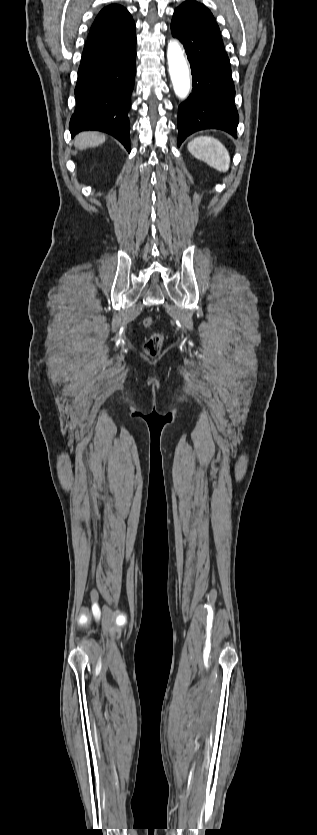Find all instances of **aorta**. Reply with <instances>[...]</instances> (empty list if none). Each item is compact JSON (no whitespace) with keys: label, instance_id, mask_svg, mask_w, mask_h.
<instances>
[{"label":"aorta","instance_id":"obj_1","mask_svg":"<svg viewBox=\"0 0 317 835\" xmlns=\"http://www.w3.org/2000/svg\"><path fill=\"white\" fill-rule=\"evenodd\" d=\"M167 60L173 89L179 99H186L190 92V72L180 43L172 39L168 43Z\"/></svg>","mask_w":317,"mask_h":835}]
</instances>
